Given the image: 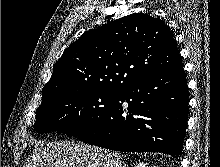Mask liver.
Here are the masks:
<instances>
[{"label": "liver", "mask_w": 220, "mask_h": 167, "mask_svg": "<svg viewBox=\"0 0 220 167\" xmlns=\"http://www.w3.org/2000/svg\"><path fill=\"white\" fill-rule=\"evenodd\" d=\"M24 167H123L119 153L69 141L37 143Z\"/></svg>", "instance_id": "6515ba94"}]
</instances>
